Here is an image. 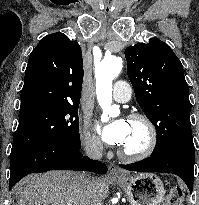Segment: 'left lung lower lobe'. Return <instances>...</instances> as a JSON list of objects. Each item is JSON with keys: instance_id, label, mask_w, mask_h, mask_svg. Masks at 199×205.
<instances>
[{"instance_id": "0a47b994", "label": "left lung lower lobe", "mask_w": 199, "mask_h": 205, "mask_svg": "<svg viewBox=\"0 0 199 205\" xmlns=\"http://www.w3.org/2000/svg\"><path fill=\"white\" fill-rule=\"evenodd\" d=\"M195 148L191 145L173 147L158 155H151L142 161L119 165L130 171L162 172L178 175L193 190Z\"/></svg>"}]
</instances>
